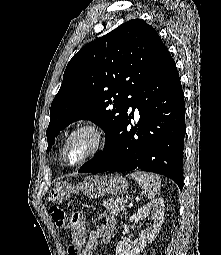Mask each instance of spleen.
Here are the masks:
<instances>
[{"label":"spleen","mask_w":221,"mask_h":255,"mask_svg":"<svg viewBox=\"0 0 221 255\" xmlns=\"http://www.w3.org/2000/svg\"><path fill=\"white\" fill-rule=\"evenodd\" d=\"M127 176L139 184V186L143 189L147 199H153L160 190L161 178L157 174L134 172Z\"/></svg>","instance_id":"1"}]
</instances>
